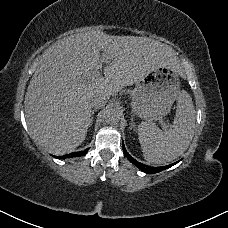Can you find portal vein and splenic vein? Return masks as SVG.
Here are the masks:
<instances>
[{"label": "portal vein and splenic vein", "instance_id": "portal-vein-and-splenic-vein-1", "mask_svg": "<svg viewBox=\"0 0 228 228\" xmlns=\"http://www.w3.org/2000/svg\"><path fill=\"white\" fill-rule=\"evenodd\" d=\"M106 61H108L107 58L105 57L104 54H102V62H106ZM100 76H101V73L97 72L96 77H100ZM160 124L162 125L163 129H168V125H166L165 123L161 122Z\"/></svg>", "mask_w": 228, "mask_h": 228}]
</instances>
